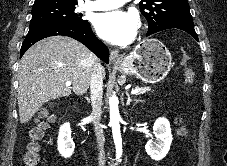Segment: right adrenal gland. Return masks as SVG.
Here are the masks:
<instances>
[{"instance_id": "1", "label": "right adrenal gland", "mask_w": 227, "mask_h": 166, "mask_svg": "<svg viewBox=\"0 0 227 166\" xmlns=\"http://www.w3.org/2000/svg\"><path fill=\"white\" fill-rule=\"evenodd\" d=\"M85 98H86L87 102L90 103V99L87 96Z\"/></svg>"}]
</instances>
